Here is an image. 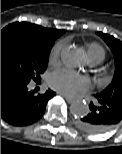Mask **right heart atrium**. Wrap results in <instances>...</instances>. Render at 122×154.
<instances>
[{
  "mask_svg": "<svg viewBox=\"0 0 122 154\" xmlns=\"http://www.w3.org/2000/svg\"><path fill=\"white\" fill-rule=\"evenodd\" d=\"M62 50H63V43L62 42L56 43L51 49V52L49 55V61L51 63H57L60 59Z\"/></svg>",
  "mask_w": 122,
  "mask_h": 154,
  "instance_id": "d8ad5b80",
  "label": "right heart atrium"
}]
</instances>
